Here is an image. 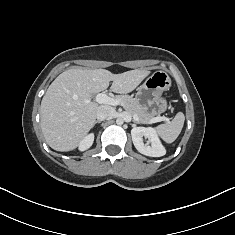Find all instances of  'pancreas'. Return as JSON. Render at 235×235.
I'll list each match as a JSON object with an SVG mask.
<instances>
[{
    "instance_id": "cf45deb5",
    "label": "pancreas",
    "mask_w": 235,
    "mask_h": 235,
    "mask_svg": "<svg viewBox=\"0 0 235 235\" xmlns=\"http://www.w3.org/2000/svg\"><path fill=\"white\" fill-rule=\"evenodd\" d=\"M120 105L131 115L136 114L139 118V123L149 124L153 115L149 113L135 98L128 95L118 96Z\"/></svg>"
}]
</instances>
